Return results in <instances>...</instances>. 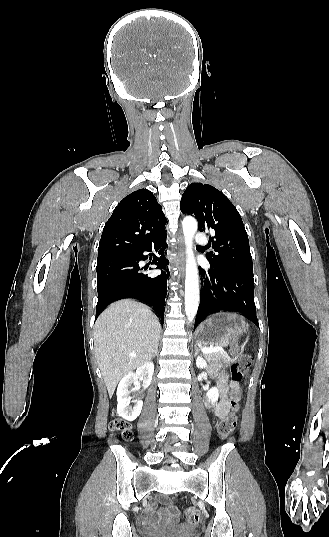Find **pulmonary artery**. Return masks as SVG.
Wrapping results in <instances>:
<instances>
[{"mask_svg":"<svg viewBox=\"0 0 329 537\" xmlns=\"http://www.w3.org/2000/svg\"><path fill=\"white\" fill-rule=\"evenodd\" d=\"M195 242L201 246L207 244L208 239L203 233H196Z\"/></svg>","mask_w":329,"mask_h":537,"instance_id":"1","label":"pulmonary artery"}]
</instances>
